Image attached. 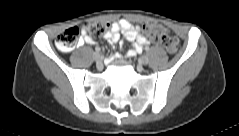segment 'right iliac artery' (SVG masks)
<instances>
[{"label":"right iliac artery","instance_id":"82829eb1","mask_svg":"<svg viewBox=\"0 0 239 136\" xmlns=\"http://www.w3.org/2000/svg\"><path fill=\"white\" fill-rule=\"evenodd\" d=\"M100 50H101V49H100L99 47H96V48H95V51H96V52H100Z\"/></svg>","mask_w":239,"mask_h":136}]
</instances>
